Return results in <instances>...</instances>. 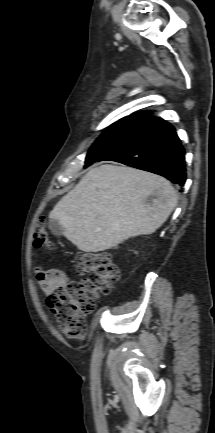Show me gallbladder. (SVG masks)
<instances>
[{
    "label": "gallbladder",
    "mask_w": 215,
    "mask_h": 433,
    "mask_svg": "<svg viewBox=\"0 0 215 433\" xmlns=\"http://www.w3.org/2000/svg\"><path fill=\"white\" fill-rule=\"evenodd\" d=\"M49 229L55 236H61L64 232V228L54 219L49 220Z\"/></svg>",
    "instance_id": "bac80fb5"
}]
</instances>
